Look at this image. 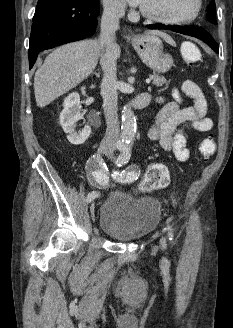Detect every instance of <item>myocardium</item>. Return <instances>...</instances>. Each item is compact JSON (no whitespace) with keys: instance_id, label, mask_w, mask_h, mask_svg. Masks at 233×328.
<instances>
[{"instance_id":"f54148a6","label":"myocardium","mask_w":233,"mask_h":328,"mask_svg":"<svg viewBox=\"0 0 233 328\" xmlns=\"http://www.w3.org/2000/svg\"><path fill=\"white\" fill-rule=\"evenodd\" d=\"M194 4L195 7L192 14L186 18H181V19H170V18L160 17L147 12L142 7H140V13L144 18L154 23L165 24V25H186L197 20L201 14L202 7H203L202 0H194Z\"/></svg>"}]
</instances>
